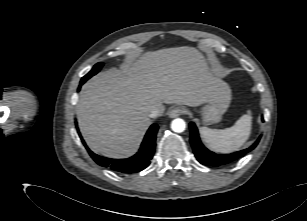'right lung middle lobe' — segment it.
<instances>
[{
	"label": "right lung middle lobe",
	"instance_id": "1",
	"mask_svg": "<svg viewBox=\"0 0 307 221\" xmlns=\"http://www.w3.org/2000/svg\"><path fill=\"white\" fill-rule=\"evenodd\" d=\"M102 66H103V63H102V62L97 63V64L92 68V70H91L87 75H85V76L82 78L83 82L87 81V80H88L89 78H91L93 75H95L96 73H98Z\"/></svg>",
	"mask_w": 307,
	"mask_h": 221
}]
</instances>
